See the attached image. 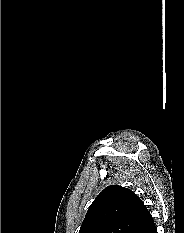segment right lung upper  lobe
Wrapping results in <instances>:
<instances>
[{
    "label": "right lung upper lobe",
    "mask_w": 184,
    "mask_h": 233,
    "mask_svg": "<svg viewBox=\"0 0 184 233\" xmlns=\"http://www.w3.org/2000/svg\"><path fill=\"white\" fill-rule=\"evenodd\" d=\"M150 216L134 192L111 185L92 202L79 233H133Z\"/></svg>",
    "instance_id": "right-lung-upper-lobe-1"
}]
</instances>
